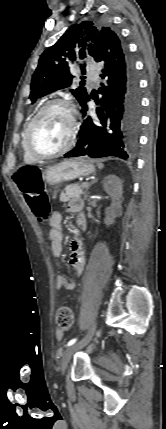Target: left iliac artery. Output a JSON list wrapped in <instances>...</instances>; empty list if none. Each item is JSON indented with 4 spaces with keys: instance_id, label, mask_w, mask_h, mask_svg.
Returning <instances> with one entry per match:
<instances>
[{
    "instance_id": "44dca946",
    "label": "left iliac artery",
    "mask_w": 166,
    "mask_h": 429,
    "mask_svg": "<svg viewBox=\"0 0 166 429\" xmlns=\"http://www.w3.org/2000/svg\"><path fill=\"white\" fill-rule=\"evenodd\" d=\"M76 341H77V338H73V339H71L68 343H67V347L68 346H71V345H73L74 343H76Z\"/></svg>"
}]
</instances>
